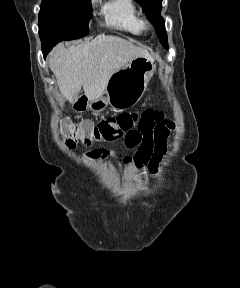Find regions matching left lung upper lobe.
Listing matches in <instances>:
<instances>
[{
    "label": "left lung upper lobe",
    "instance_id": "5c2ea615",
    "mask_svg": "<svg viewBox=\"0 0 240 288\" xmlns=\"http://www.w3.org/2000/svg\"><path fill=\"white\" fill-rule=\"evenodd\" d=\"M143 8L147 18L152 22L156 28V34L158 35L161 43L168 48L167 34L165 31V22L160 15L162 0H135Z\"/></svg>",
    "mask_w": 240,
    "mask_h": 288
}]
</instances>
